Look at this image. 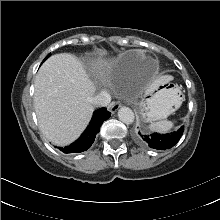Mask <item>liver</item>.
I'll return each mask as SVG.
<instances>
[{
  "mask_svg": "<svg viewBox=\"0 0 220 220\" xmlns=\"http://www.w3.org/2000/svg\"><path fill=\"white\" fill-rule=\"evenodd\" d=\"M163 77L155 84L170 81ZM34 107L40 130L53 144L65 146L79 137L91 119L95 85L72 54L52 55L35 78Z\"/></svg>",
  "mask_w": 220,
  "mask_h": 220,
  "instance_id": "liver-1",
  "label": "liver"
}]
</instances>
